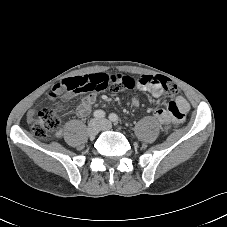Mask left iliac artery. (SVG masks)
<instances>
[{"label":"left iliac artery","instance_id":"left-iliac-artery-1","mask_svg":"<svg viewBox=\"0 0 227 227\" xmlns=\"http://www.w3.org/2000/svg\"><path fill=\"white\" fill-rule=\"evenodd\" d=\"M109 119H110L112 122H115V123H117L118 120H119L118 116H117L115 113H111V114L109 115Z\"/></svg>","mask_w":227,"mask_h":227}]
</instances>
